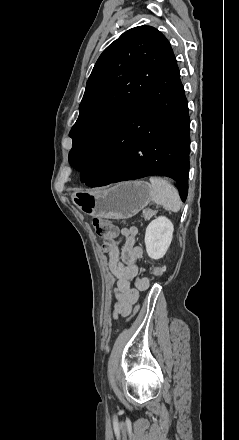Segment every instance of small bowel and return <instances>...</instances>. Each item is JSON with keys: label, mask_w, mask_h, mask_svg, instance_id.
Instances as JSON below:
<instances>
[{"label": "small bowel", "mask_w": 239, "mask_h": 440, "mask_svg": "<svg viewBox=\"0 0 239 440\" xmlns=\"http://www.w3.org/2000/svg\"><path fill=\"white\" fill-rule=\"evenodd\" d=\"M121 242H124L122 246ZM137 242L138 229L135 226L122 228L117 232V239L108 250V266L116 278L114 318L129 315L139 292L149 286V278L141 275L144 269L140 268L139 263L143 257V250Z\"/></svg>", "instance_id": "small-bowel-1"}]
</instances>
